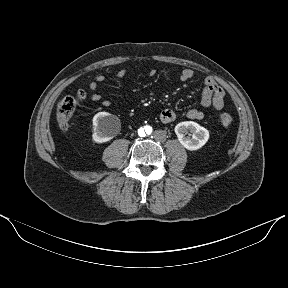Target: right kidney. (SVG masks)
I'll use <instances>...</instances> for the list:
<instances>
[{
  "mask_svg": "<svg viewBox=\"0 0 288 288\" xmlns=\"http://www.w3.org/2000/svg\"><path fill=\"white\" fill-rule=\"evenodd\" d=\"M115 121L116 118L107 112L97 113L93 117V140L96 143H104L112 139L116 134Z\"/></svg>",
  "mask_w": 288,
  "mask_h": 288,
  "instance_id": "ca27d5eb",
  "label": "right kidney"
}]
</instances>
